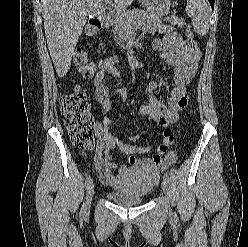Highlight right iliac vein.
<instances>
[{"mask_svg": "<svg viewBox=\"0 0 248 247\" xmlns=\"http://www.w3.org/2000/svg\"><path fill=\"white\" fill-rule=\"evenodd\" d=\"M93 195H94V183L91 182L87 188V193H86L85 213L88 211L90 207V203H91Z\"/></svg>", "mask_w": 248, "mask_h": 247, "instance_id": "1", "label": "right iliac vein"}]
</instances>
